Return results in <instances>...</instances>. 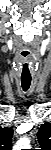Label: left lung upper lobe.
<instances>
[{
	"label": "left lung upper lobe",
	"instance_id": "left-lung-upper-lobe-1",
	"mask_svg": "<svg viewBox=\"0 0 51 150\" xmlns=\"http://www.w3.org/2000/svg\"><path fill=\"white\" fill-rule=\"evenodd\" d=\"M37 138L42 149L46 150L51 147V123H45L40 127Z\"/></svg>",
	"mask_w": 51,
	"mask_h": 150
}]
</instances>
